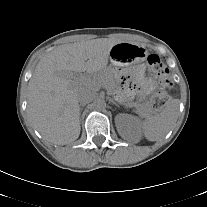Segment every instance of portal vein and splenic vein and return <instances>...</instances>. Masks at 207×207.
Wrapping results in <instances>:
<instances>
[{"instance_id":"obj_1","label":"portal vein and splenic vein","mask_w":207,"mask_h":207,"mask_svg":"<svg viewBox=\"0 0 207 207\" xmlns=\"http://www.w3.org/2000/svg\"><path fill=\"white\" fill-rule=\"evenodd\" d=\"M81 81H86L88 82L92 87H95L96 90H98L100 87L98 86V84L95 82V80H91L90 78L87 77H76L74 78V82H81Z\"/></svg>"}]
</instances>
